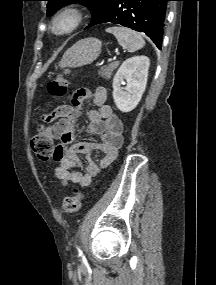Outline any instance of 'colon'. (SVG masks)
<instances>
[{"label": "colon", "instance_id": "5ec220e1", "mask_svg": "<svg viewBox=\"0 0 216 285\" xmlns=\"http://www.w3.org/2000/svg\"><path fill=\"white\" fill-rule=\"evenodd\" d=\"M48 92L52 97H61L66 93L67 80L64 74H60L48 84ZM31 147L36 156L42 161H48L54 157L55 145L53 138L49 133H40V131L31 139ZM83 194L78 190H74L72 196L64 198L61 211L63 213H75L80 209Z\"/></svg>", "mask_w": 216, "mask_h": 285}]
</instances>
